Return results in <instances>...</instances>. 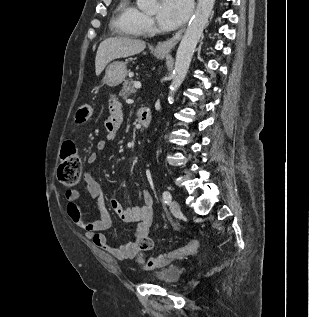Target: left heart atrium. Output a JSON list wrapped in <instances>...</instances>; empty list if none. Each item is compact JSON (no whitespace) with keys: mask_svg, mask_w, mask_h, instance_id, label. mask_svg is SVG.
I'll list each match as a JSON object with an SVG mask.
<instances>
[{"mask_svg":"<svg viewBox=\"0 0 309 317\" xmlns=\"http://www.w3.org/2000/svg\"><path fill=\"white\" fill-rule=\"evenodd\" d=\"M191 11V0H161L157 21L161 28L172 30L182 24Z\"/></svg>","mask_w":309,"mask_h":317,"instance_id":"39dd6f15","label":"left heart atrium"}]
</instances>
